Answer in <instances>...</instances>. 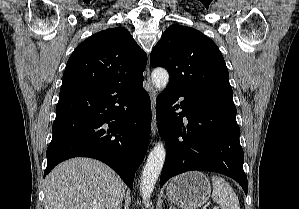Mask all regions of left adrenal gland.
<instances>
[{
	"label": "left adrenal gland",
	"instance_id": "left-adrenal-gland-1",
	"mask_svg": "<svg viewBox=\"0 0 299 209\" xmlns=\"http://www.w3.org/2000/svg\"><path fill=\"white\" fill-rule=\"evenodd\" d=\"M169 209H176V208H175V206H173V205L171 204Z\"/></svg>",
	"mask_w": 299,
	"mask_h": 209
}]
</instances>
